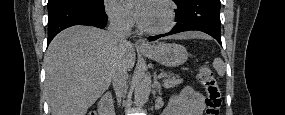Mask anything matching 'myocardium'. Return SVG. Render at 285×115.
<instances>
[{
    "label": "myocardium",
    "mask_w": 285,
    "mask_h": 115,
    "mask_svg": "<svg viewBox=\"0 0 285 115\" xmlns=\"http://www.w3.org/2000/svg\"><path fill=\"white\" fill-rule=\"evenodd\" d=\"M154 3L161 4L165 6L167 12V20L166 23L158 28H147L142 26L141 29L149 34H163L170 31L176 23V11L175 6L170 0H156Z\"/></svg>",
    "instance_id": "1"
}]
</instances>
